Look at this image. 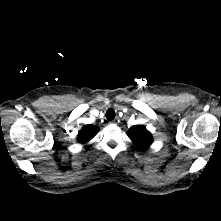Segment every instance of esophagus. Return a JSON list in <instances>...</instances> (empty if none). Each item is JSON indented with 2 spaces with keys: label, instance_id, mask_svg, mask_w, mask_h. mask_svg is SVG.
<instances>
[{
  "label": "esophagus",
  "instance_id": "1",
  "mask_svg": "<svg viewBox=\"0 0 221 221\" xmlns=\"http://www.w3.org/2000/svg\"><path fill=\"white\" fill-rule=\"evenodd\" d=\"M110 123H111V124H116V122H115L114 120H113V121H111Z\"/></svg>",
  "mask_w": 221,
  "mask_h": 221
}]
</instances>
